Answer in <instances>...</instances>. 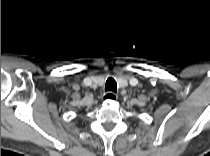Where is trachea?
Returning <instances> with one entry per match:
<instances>
[{
  "instance_id": "trachea-1",
  "label": "trachea",
  "mask_w": 210,
  "mask_h": 156,
  "mask_svg": "<svg viewBox=\"0 0 210 156\" xmlns=\"http://www.w3.org/2000/svg\"><path fill=\"white\" fill-rule=\"evenodd\" d=\"M105 91L116 93L117 83L113 78H108L105 85Z\"/></svg>"
}]
</instances>
